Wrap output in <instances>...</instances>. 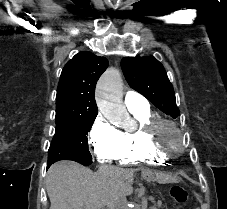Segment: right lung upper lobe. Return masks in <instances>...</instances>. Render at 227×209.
I'll return each instance as SVG.
<instances>
[{
	"label": "right lung upper lobe",
	"instance_id": "obj_1",
	"mask_svg": "<svg viewBox=\"0 0 227 209\" xmlns=\"http://www.w3.org/2000/svg\"><path fill=\"white\" fill-rule=\"evenodd\" d=\"M108 67L105 57L76 54L63 68L57 88L56 114L97 115L95 86Z\"/></svg>",
	"mask_w": 227,
	"mask_h": 209
}]
</instances>
